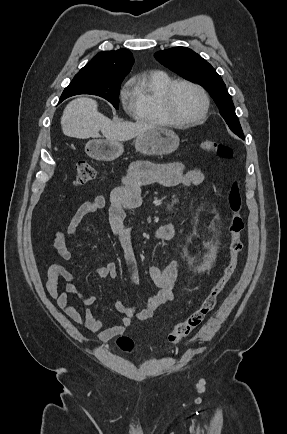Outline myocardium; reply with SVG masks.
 <instances>
[{"label": "myocardium", "mask_w": 287, "mask_h": 434, "mask_svg": "<svg viewBox=\"0 0 287 434\" xmlns=\"http://www.w3.org/2000/svg\"><path fill=\"white\" fill-rule=\"evenodd\" d=\"M179 85H187L194 89H196L203 101V108L201 113L193 118V119H180L173 111V104H172V96L175 88ZM210 101L209 96L206 92V90L199 85L198 83H195L191 80L187 79H175L172 80L164 89L163 95H162V107L164 110V113L168 117V119L172 122V124L176 125H194L201 123L204 121L207 117L208 111H209Z\"/></svg>", "instance_id": "obj_1"}]
</instances>
